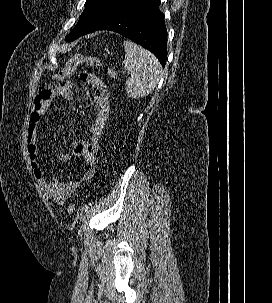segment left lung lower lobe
<instances>
[{
    "label": "left lung lower lobe",
    "instance_id": "obj_1",
    "mask_svg": "<svg viewBox=\"0 0 272 303\" xmlns=\"http://www.w3.org/2000/svg\"><path fill=\"white\" fill-rule=\"evenodd\" d=\"M160 0H142L101 22L89 32L114 31L151 51L165 66L167 59V30ZM83 34V35H85ZM82 35V36H83Z\"/></svg>",
    "mask_w": 272,
    "mask_h": 303
}]
</instances>
